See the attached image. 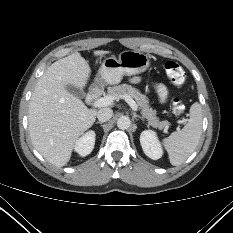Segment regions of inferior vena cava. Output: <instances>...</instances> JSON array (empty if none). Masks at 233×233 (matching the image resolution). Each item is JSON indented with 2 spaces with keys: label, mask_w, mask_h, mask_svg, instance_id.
I'll use <instances>...</instances> for the list:
<instances>
[{
  "label": "inferior vena cava",
  "mask_w": 233,
  "mask_h": 233,
  "mask_svg": "<svg viewBox=\"0 0 233 233\" xmlns=\"http://www.w3.org/2000/svg\"><path fill=\"white\" fill-rule=\"evenodd\" d=\"M113 116V110L110 108H102L97 112V118L100 122H107Z\"/></svg>",
  "instance_id": "obj_1"
}]
</instances>
